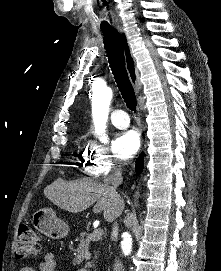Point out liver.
Instances as JSON below:
<instances>
[{"mask_svg": "<svg viewBox=\"0 0 221 271\" xmlns=\"http://www.w3.org/2000/svg\"><path fill=\"white\" fill-rule=\"evenodd\" d=\"M105 187L102 181H95L91 177H82L75 181H64L59 177L57 181L45 187L44 195L53 201L54 205L71 213L84 211L96 201L94 209L103 211L105 221H112L113 217H118L122 213L125 203L122 197L117 199L105 197Z\"/></svg>", "mask_w": 221, "mask_h": 271, "instance_id": "liver-1", "label": "liver"}]
</instances>
